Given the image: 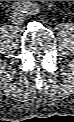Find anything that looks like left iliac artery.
Returning a JSON list of instances; mask_svg holds the SVG:
<instances>
[{
	"mask_svg": "<svg viewBox=\"0 0 74 122\" xmlns=\"http://www.w3.org/2000/svg\"><path fill=\"white\" fill-rule=\"evenodd\" d=\"M37 10H38V9H37L36 7H33L32 12H33V11H37Z\"/></svg>",
	"mask_w": 74,
	"mask_h": 122,
	"instance_id": "left-iliac-artery-1",
	"label": "left iliac artery"
}]
</instances>
